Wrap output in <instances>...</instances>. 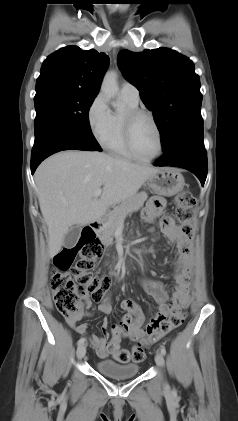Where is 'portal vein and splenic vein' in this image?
Segmentation results:
<instances>
[{
	"label": "portal vein and splenic vein",
	"instance_id": "18ae733b",
	"mask_svg": "<svg viewBox=\"0 0 238 421\" xmlns=\"http://www.w3.org/2000/svg\"><path fill=\"white\" fill-rule=\"evenodd\" d=\"M102 194V189H98L94 192V198L97 199Z\"/></svg>",
	"mask_w": 238,
	"mask_h": 421
}]
</instances>
